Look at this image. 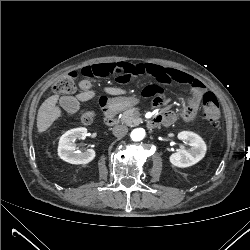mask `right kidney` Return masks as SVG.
Instances as JSON below:
<instances>
[{
  "mask_svg": "<svg viewBox=\"0 0 250 250\" xmlns=\"http://www.w3.org/2000/svg\"><path fill=\"white\" fill-rule=\"evenodd\" d=\"M87 129L85 127L74 128L64 133L59 140L58 155L59 157L71 164H87L95 158V151L88 149L85 152H77L76 139H85Z\"/></svg>",
  "mask_w": 250,
  "mask_h": 250,
  "instance_id": "right-kidney-1",
  "label": "right kidney"
}]
</instances>
